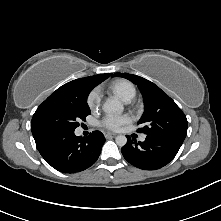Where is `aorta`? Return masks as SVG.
<instances>
[{"instance_id": "1", "label": "aorta", "mask_w": 221, "mask_h": 221, "mask_svg": "<svg viewBox=\"0 0 221 221\" xmlns=\"http://www.w3.org/2000/svg\"><path fill=\"white\" fill-rule=\"evenodd\" d=\"M123 109L122 103L115 98H108L103 104V110L108 114L121 113ZM115 141L118 146L123 147L127 143V138L124 135H118Z\"/></svg>"}]
</instances>
